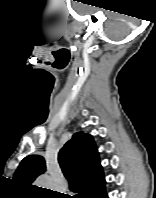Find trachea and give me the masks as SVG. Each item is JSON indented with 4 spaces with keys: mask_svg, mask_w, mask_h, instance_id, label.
Wrapping results in <instances>:
<instances>
[{
    "mask_svg": "<svg viewBox=\"0 0 156 198\" xmlns=\"http://www.w3.org/2000/svg\"><path fill=\"white\" fill-rule=\"evenodd\" d=\"M82 194H77L75 198H82Z\"/></svg>",
    "mask_w": 156,
    "mask_h": 198,
    "instance_id": "3493384b",
    "label": "trachea"
}]
</instances>
